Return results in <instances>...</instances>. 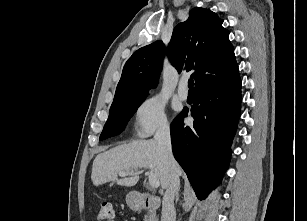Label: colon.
Here are the masks:
<instances>
[{
	"label": "colon",
	"instance_id": "obj_1",
	"mask_svg": "<svg viewBox=\"0 0 307 221\" xmlns=\"http://www.w3.org/2000/svg\"><path fill=\"white\" fill-rule=\"evenodd\" d=\"M114 218L113 206L110 202H103L97 213L98 221H111Z\"/></svg>",
	"mask_w": 307,
	"mask_h": 221
}]
</instances>
